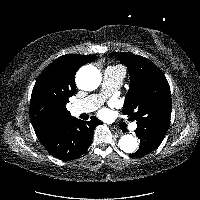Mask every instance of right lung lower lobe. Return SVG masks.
Here are the masks:
<instances>
[{"label": "right lung lower lobe", "mask_w": 200, "mask_h": 200, "mask_svg": "<svg viewBox=\"0 0 200 200\" xmlns=\"http://www.w3.org/2000/svg\"><path fill=\"white\" fill-rule=\"evenodd\" d=\"M101 123L96 117L86 122L70 117L50 124L37 138L54 157L68 161L85 153L95 126Z\"/></svg>", "instance_id": "right-lung-lower-lobe-1"}]
</instances>
